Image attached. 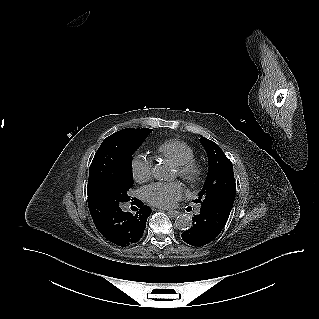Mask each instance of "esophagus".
I'll list each match as a JSON object with an SVG mask.
<instances>
[{
    "label": "esophagus",
    "mask_w": 319,
    "mask_h": 319,
    "mask_svg": "<svg viewBox=\"0 0 319 319\" xmlns=\"http://www.w3.org/2000/svg\"><path fill=\"white\" fill-rule=\"evenodd\" d=\"M167 214L171 217H176L179 215V212L175 210H167Z\"/></svg>",
    "instance_id": "esophagus-1"
}]
</instances>
